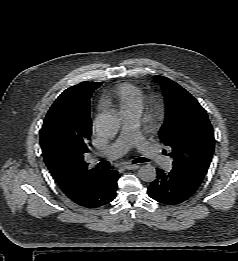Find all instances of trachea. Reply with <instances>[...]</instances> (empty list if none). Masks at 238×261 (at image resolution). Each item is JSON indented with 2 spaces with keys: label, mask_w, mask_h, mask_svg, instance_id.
I'll use <instances>...</instances> for the list:
<instances>
[{
  "label": "trachea",
  "mask_w": 238,
  "mask_h": 261,
  "mask_svg": "<svg viewBox=\"0 0 238 261\" xmlns=\"http://www.w3.org/2000/svg\"><path fill=\"white\" fill-rule=\"evenodd\" d=\"M148 161L149 160L146 158H137L133 161V163H143V162H148ZM98 165L100 168H103V169H109L111 167L110 163L107 161H102Z\"/></svg>",
  "instance_id": "trachea-1"
}]
</instances>
